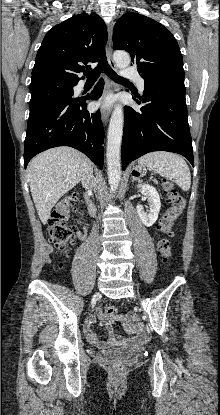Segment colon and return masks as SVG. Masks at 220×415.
Masks as SVG:
<instances>
[{
    "instance_id": "obj_1",
    "label": "colon",
    "mask_w": 220,
    "mask_h": 415,
    "mask_svg": "<svg viewBox=\"0 0 220 415\" xmlns=\"http://www.w3.org/2000/svg\"><path fill=\"white\" fill-rule=\"evenodd\" d=\"M162 187L168 195L170 206L159 221V230L165 237L158 242V250L162 259L169 263L172 260L173 226L184 209L185 201L170 180H163ZM78 202V196L70 194L57 203L49 216L50 239L61 253L66 252L73 243L76 228L69 223V216L77 210ZM104 313L108 318L113 319L117 315V308L113 305H107ZM114 368L116 370L122 369L120 364H115Z\"/></svg>"
}]
</instances>
